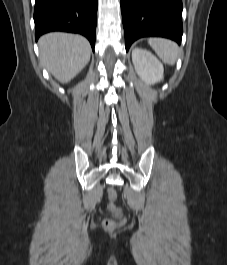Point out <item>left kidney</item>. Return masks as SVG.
<instances>
[{"label": "left kidney", "instance_id": "1", "mask_svg": "<svg viewBox=\"0 0 227 265\" xmlns=\"http://www.w3.org/2000/svg\"><path fill=\"white\" fill-rule=\"evenodd\" d=\"M132 61L136 72L147 84L152 85L163 79V65L151 52L135 48L132 51Z\"/></svg>", "mask_w": 227, "mask_h": 265}]
</instances>
